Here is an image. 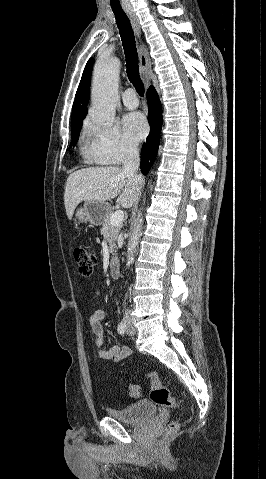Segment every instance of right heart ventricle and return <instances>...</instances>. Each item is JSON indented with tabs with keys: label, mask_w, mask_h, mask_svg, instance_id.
<instances>
[{
	"label": "right heart ventricle",
	"mask_w": 266,
	"mask_h": 479,
	"mask_svg": "<svg viewBox=\"0 0 266 479\" xmlns=\"http://www.w3.org/2000/svg\"><path fill=\"white\" fill-rule=\"evenodd\" d=\"M82 154L83 156L88 159V160H92L91 159V153H90V143H88L87 141H84L83 144H82Z\"/></svg>",
	"instance_id": "1"
}]
</instances>
